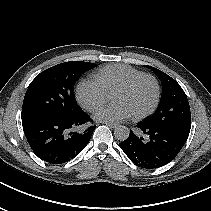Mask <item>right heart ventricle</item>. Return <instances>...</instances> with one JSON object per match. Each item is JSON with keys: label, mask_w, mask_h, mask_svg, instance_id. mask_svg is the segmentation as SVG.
<instances>
[{"label": "right heart ventricle", "mask_w": 211, "mask_h": 211, "mask_svg": "<svg viewBox=\"0 0 211 211\" xmlns=\"http://www.w3.org/2000/svg\"><path fill=\"white\" fill-rule=\"evenodd\" d=\"M142 74L144 72L129 65L115 64L100 69L95 78L100 81L108 93H112L120 85Z\"/></svg>", "instance_id": "e07e8e85"}]
</instances>
